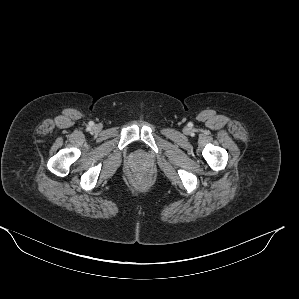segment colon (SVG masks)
<instances>
[{
    "label": "colon",
    "mask_w": 299,
    "mask_h": 299,
    "mask_svg": "<svg viewBox=\"0 0 299 299\" xmlns=\"http://www.w3.org/2000/svg\"><path fill=\"white\" fill-rule=\"evenodd\" d=\"M137 183L138 184H142L143 183V179L142 178H138Z\"/></svg>",
    "instance_id": "obj_1"
}]
</instances>
